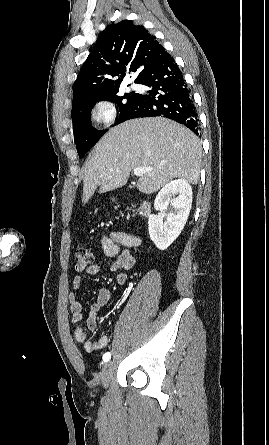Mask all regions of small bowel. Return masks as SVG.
I'll use <instances>...</instances> for the list:
<instances>
[{
  "label": "small bowel",
  "mask_w": 269,
  "mask_h": 445,
  "mask_svg": "<svg viewBox=\"0 0 269 445\" xmlns=\"http://www.w3.org/2000/svg\"><path fill=\"white\" fill-rule=\"evenodd\" d=\"M139 245V239L121 232H114L111 236H106L102 240L103 251L106 256L113 258L114 263L110 269L116 272V280L118 284L123 285L128 279V274L135 264V255L132 249ZM100 272V266L93 264L85 269V274L93 276ZM73 291L70 294V311L72 314V321L79 324L84 319L83 305L76 299V293L80 291L82 286V277L76 275L72 282ZM113 295L109 289H101L96 301L91 305L89 315L86 321L88 330H94L97 326L96 315L99 309L112 299ZM77 342L84 346V349L91 353L96 350L106 347L108 344V336L102 335L98 340L92 341L87 339L86 332L83 327L77 326L74 332Z\"/></svg>",
  "instance_id": "c3829d8e"
}]
</instances>
